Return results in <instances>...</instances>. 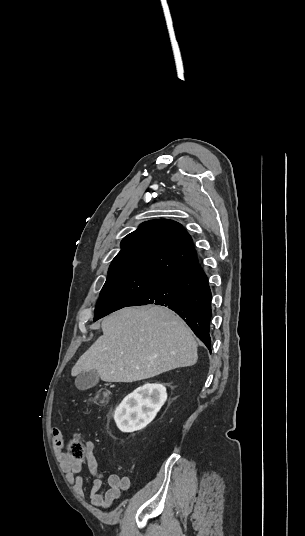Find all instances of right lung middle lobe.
I'll return each mask as SVG.
<instances>
[{"label":"right lung middle lobe","instance_id":"obj_1","mask_svg":"<svg viewBox=\"0 0 305 536\" xmlns=\"http://www.w3.org/2000/svg\"><path fill=\"white\" fill-rule=\"evenodd\" d=\"M165 276L130 274L107 277L94 312V321L126 307L154 288Z\"/></svg>","mask_w":305,"mask_h":536}]
</instances>
